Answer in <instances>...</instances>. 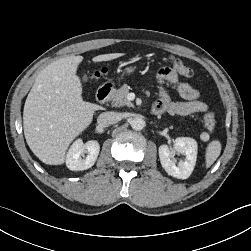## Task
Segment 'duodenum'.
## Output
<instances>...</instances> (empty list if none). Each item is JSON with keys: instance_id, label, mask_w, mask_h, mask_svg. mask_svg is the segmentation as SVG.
I'll use <instances>...</instances> for the list:
<instances>
[{"instance_id": "duodenum-1", "label": "duodenum", "mask_w": 251, "mask_h": 251, "mask_svg": "<svg viewBox=\"0 0 251 251\" xmlns=\"http://www.w3.org/2000/svg\"><path fill=\"white\" fill-rule=\"evenodd\" d=\"M112 90H113V84H111V83L105 84L102 87H100L98 89V91L96 92L97 101L100 104H104L105 102H107ZM154 111H155V109H154V107H152V112L154 113Z\"/></svg>"}]
</instances>
